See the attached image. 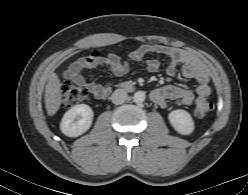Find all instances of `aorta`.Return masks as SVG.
I'll return each instance as SVG.
<instances>
[{"label": "aorta", "instance_id": "1", "mask_svg": "<svg viewBox=\"0 0 248 195\" xmlns=\"http://www.w3.org/2000/svg\"><path fill=\"white\" fill-rule=\"evenodd\" d=\"M133 100L135 103H142L145 100V92L137 91L133 96Z\"/></svg>", "mask_w": 248, "mask_h": 195}]
</instances>
